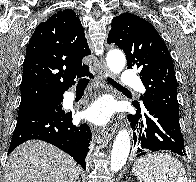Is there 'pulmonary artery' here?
Masks as SVG:
<instances>
[{
    "label": "pulmonary artery",
    "instance_id": "pulmonary-artery-1",
    "mask_svg": "<svg viewBox=\"0 0 196 182\" xmlns=\"http://www.w3.org/2000/svg\"><path fill=\"white\" fill-rule=\"evenodd\" d=\"M121 83L123 85L135 86L140 92H142V89L139 87L138 76L132 71L123 72L121 76Z\"/></svg>",
    "mask_w": 196,
    "mask_h": 182
}]
</instances>
